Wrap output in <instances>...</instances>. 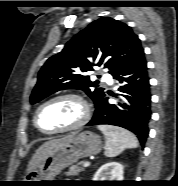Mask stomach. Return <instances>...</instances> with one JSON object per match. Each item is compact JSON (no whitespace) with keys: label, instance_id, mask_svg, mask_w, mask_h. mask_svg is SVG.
I'll return each instance as SVG.
<instances>
[{"label":"stomach","instance_id":"stomach-1","mask_svg":"<svg viewBox=\"0 0 178 186\" xmlns=\"http://www.w3.org/2000/svg\"><path fill=\"white\" fill-rule=\"evenodd\" d=\"M101 148V139L97 134L91 131L78 133L49 153L44 160L26 175L24 181H54V178L61 170L79 159L98 154ZM28 183V185L33 186H43L48 185L50 182Z\"/></svg>","mask_w":178,"mask_h":186}]
</instances>
